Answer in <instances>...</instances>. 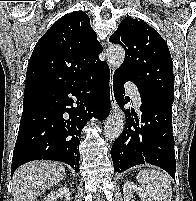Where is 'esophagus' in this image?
<instances>
[{
    "instance_id": "esophagus-1",
    "label": "esophagus",
    "mask_w": 196,
    "mask_h": 201,
    "mask_svg": "<svg viewBox=\"0 0 196 201\" xmlns=\"http://www.w3.org/2000/svg\"><path fill=\"white\" fill-rule=\"evenodd\" d=\"M110 95H111V112H117L119 108L114 96L113 73H111V78H110Z\"/></svg>"
}]
</instances>
